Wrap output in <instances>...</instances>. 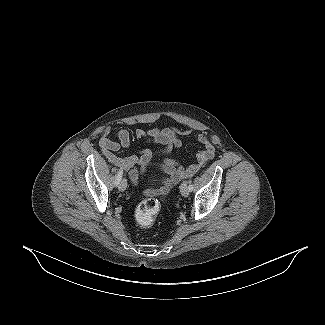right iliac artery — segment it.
Segmentation results:
<instances>
[{
  "label": "right iliac artery",
  "mask_w": 325,
  "mask_h": 325,
  "mask_svg": "<svg viewBox=\"0 0 325 325\" xmlns=\"http://www.w3.org/2000/svg\"><path fill=\"white\" fill-rule=\"evenodd\" d=\"M123 175V170L122 168L118 171V174L116 176V180H115V185L117 186L119 184V182L121 181Z\"/></svg>",
  "instance_id": "1"
}]
</instances>
